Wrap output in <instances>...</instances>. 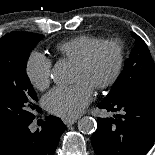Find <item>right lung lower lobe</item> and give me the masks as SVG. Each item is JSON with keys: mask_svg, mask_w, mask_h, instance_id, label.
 I'll return each instance as SVG.
<instances>
[{"mask_svg": "<svg viewBox=\"0 0 155 155\" xmlns=\"http://www.w3.org/2000/svg\"><path fill=\"white\" fill-rule=\"evenodd\" d=\"M42 129L32 133L31 122L0 128V155H52L66 126L54 116L45 118Z\"/></svg>", "mask_w": 155, "mask_h": 155, "instance_id": "obj_1", "label": "right lung lower lobe"}]
</instances>
